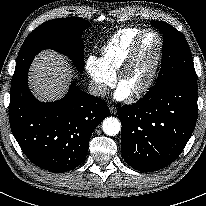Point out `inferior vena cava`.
<instances>
[{
    "label": "inferior vena cava",
    "mask_w": 206,
    "mask_h": 206,
    "mask_svg": "<svg viewBox=\"0 0 206 206\" xmlns=\"http://www.w3.org/2000/svg\"><path fill=\"white\" fill-rule=\"evenodd\" d=\"M107 86L100 83H91L88 86V91L93 96L104 97L107 94Z\"/></svg>",
    "instance_id": "1"
}]
</instances>
